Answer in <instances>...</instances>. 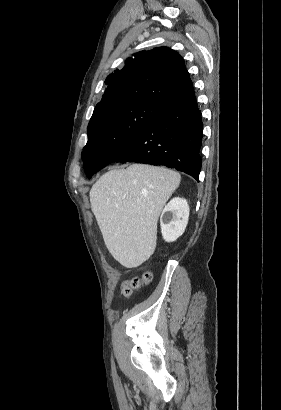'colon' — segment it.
I'll return each mask as SVG.
<instances>
[{
    "instance_id": "5ec220e1",
    "label": "colon",
    "mask_w": 281,
    "mask_h": 410,
    "mask_svg": "<svg viewBox=\"0 0 281 410\" xmlns=\"http://www.w3.org/2000/svg\"><path fill=\"white\" fill-rule=\"evenodd\" d=\"M152 275L150 272H145L142 277H135L130 280L123 282L121 286L122 294L128 296L132 294L135 290L139 289L142 285L150 282Z\"/></svg>"
}]
</instances>
